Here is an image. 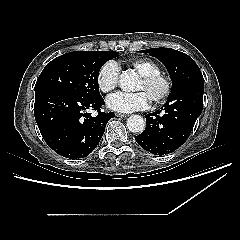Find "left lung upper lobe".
<instances>
[{"label": "left lung upper lobe", "mask_w": 240, "mask_h": 240, "mask_svg": "<svg viewBox=\"0 0 240 240\" xmlns=\"http://www.w3.org/2000/svg\"><path fill=\"white\" fill-rule=\"evenodd\" d=\"M159 59L167 68L172 79L171 94L195 82H204L202 73L194 60L185 53L171 48L144 50Z\"/></svg>", "instance_id": "1"}]
</instances>
